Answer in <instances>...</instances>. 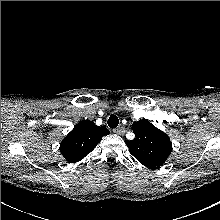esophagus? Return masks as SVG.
Returning a JSON list of instances; mask_svg holds the SVG:
<instances>
[{
	"label": "esophagus",
	"instance_id": "1",
	"mask_svg": "<svg viewBox=\"0 0 220 220\" xmlns=\"http://www.w3.org/2000/svg\"><path fill=\"white\" fill-rule=\"evenodd\" d=\"M113 133H115L117 135H123L125 133V128L124 127L114 128Z\"/></svg>",
	"mask_w": 220,
	"mask_h": 220
}]
</instances>
